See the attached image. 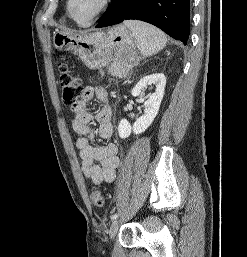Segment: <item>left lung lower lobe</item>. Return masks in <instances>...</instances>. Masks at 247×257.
<instances>
[{
	"mask_svg": "<svg viewBox=\"0 0 247 257\" xmlns=\"http://www.w3.org/2000/svg\"><path fill=\"white\" fill-rule=\"evenodd\" d=\"M125 19L153 24L186 45L190 33V0H112L96 28Z\"/></svg>",
	"mask_w": 247,
	"mask_h": 257,
	"instance_id": "left-lung-lower-lobe-1",
	"label": "left lung lower lobe"
}]
</instances>
